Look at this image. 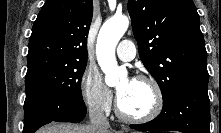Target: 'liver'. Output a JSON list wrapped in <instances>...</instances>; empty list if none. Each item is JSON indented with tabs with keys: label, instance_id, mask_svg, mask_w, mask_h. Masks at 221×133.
I'll return each instance as SVG.
<instances>
[{
	"label": "liver",
	"instance_id": "obj_1",
	"mask_svg": "<svg viewBox=\"0 0 221 133\" xmlns=\"http://www.w3.org/2000/svg\"><path fill=\"white\" fill-rule=\"evenodd\" d=\"M37 133H97V132L91 125L52 123L38 130ZM105 133H117V132L107 129Z\"/></svg>",
	"mask_w": 221,
	"mask_h": 133
}]
</instances>
